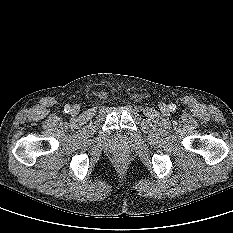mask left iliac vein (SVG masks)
<instances>
[{
    "instance_id": "1",
    "label": "left iliac vein",
    "mask_w": 233,
    "mask_h": 233,
    "mask_svg": "<svg viewBox=\"0 0 233 233\" xmlns=\"http://www.w3.org/2000/svg\"><path fill=\"white\" fill-rule=\"evenodd\" d=\"M162 109L164 110V111H167V107L164 105V106H162Z\"/></svg>"
}]
</instances>
